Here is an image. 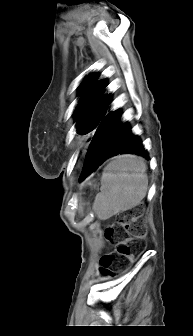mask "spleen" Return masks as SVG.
Returning a JSON list of instances; mask_svg holds the SVG:
<instances>
[{
	"label": "spleen",
	"mask_w": 193,
	"mask_h": 336,
	"mask_svg": "<svg viewBox=\"0 0 193 336\" xmlns=\"http://www.w3.org/2000/svg\"><path fill=\"white\" fill-rule=\"evenodd\" d=\"M148 186L146 164L135 155H119L106 166L100 193L93 203L94 213L100 220L127 211L139 205Z\"/></svg>",
	"instance_id": "3e777b00"
}]
</instances>
